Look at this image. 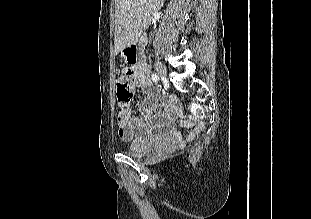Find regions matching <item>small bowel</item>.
Here are the masks:
<instances>
[{
    "label": "small bowel",
    "instance_id": "c3829d8e",
    "mask_svg": "<svg viewBox=\"0 0 311 219\" xmlns=\"http://www.w3.org/2000/svg\"><path fill=\"white\" fill-rule=\"evenodd\" d=\"M128 76L145 94L146 99L139 104L141 119L132 116L128 107L121 108L117 115L119 135L125 141L143 138L155 131L167 141L179 139L175 121L189 129V135L196 133L202 122L195 116L185 117L182 114L179 101L173 95L163 99L149 77L148 66L144 63H135L126 69Z\"/></svg>",
    "mask_w": 311,
    "mask_h": 219
}]
</instances>
